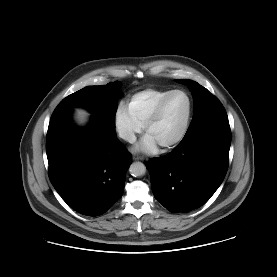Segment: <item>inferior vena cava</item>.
I'll return each mask as SVG.
<instances>
[{"instance_id": "602c4592", "label": "inferior vena cava", "mask_w": 277, "mask_h": 277, "mask_svg": "<svg viewBox=\"0 0 277 277\" xmlns=\"http://www.w3.org/2000/svg\"><path fill=\"white\" fill-rule=\"evenodd\" d=\"M119 137L128 141L129 143H134L136 141V136L132 131L121 129L119 131Z\"/></svg>"}]
</instances>
